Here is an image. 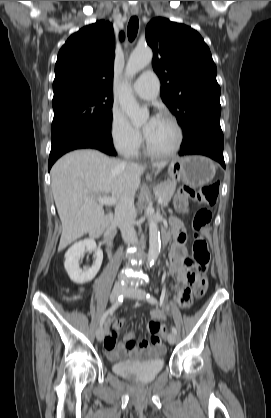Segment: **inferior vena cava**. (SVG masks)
I'll return each instance as SVG.
<instances>
[{
    "mask_svg": "<svg viewBox=\"0 0 271 418\" xmlns=\"http://www.w3.org/2000/svg\"><path fill=\"white\" fill-rule=\"evenodd\" d=\"M135 216L134 196L125 193L117 202L114 221L120 228L122 237L127 244H136L138 241L134 229Z\"/></svg>",
    "mask_w": 271,
    "mask_h": 418,
    "instance_id": "obj_1",
    "label": "inferior vena cava"
}]
</instances>
